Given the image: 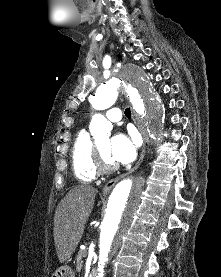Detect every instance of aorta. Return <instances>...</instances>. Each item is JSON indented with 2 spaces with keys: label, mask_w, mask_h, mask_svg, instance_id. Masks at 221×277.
<instances>
[{
  "label": "aorta",
  "mask_w": 221,
  "mask_h": 277,
  "mask_svg": "<svg viewBox=\"0 0 221 277\" xmlns=\"http://www.w3.org/2000/svg\"><path fill=\"white\" fill-rule=\"evenodd\" d=\"M120 93L126 94L134 110L146 120L154 137L163 139L165 131V109L158 94L147 79L144 71L130 65L118 75L101 84L91 103L94 108L104 110L111 107ZM111 124L96 114L90 122V132L95 138L108 136ZM142 184L132 178L121 180L112 190L104 218L100 225L99 261L96 277H104V268L121 246L141 203Z\"/></svg>",
  "instance_id": "1"
}]
</instances>
